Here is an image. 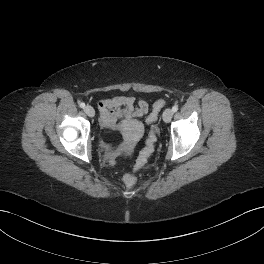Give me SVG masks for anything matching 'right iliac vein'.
Segmentation results:
<instances>
[{
    "label": "right iliac vein",
    "mask_w": 264,
    "mask_h": 264,
    "mask_svg": "<svg viewBox=\"0 0 264 264\" xmlns=\"http://www.w3.org/2000/svg\"><path fill=\"white\" fill-rule=\"evenodd\" d=\"M84 112L89 116V117H94L95 115V111L93 109L92 106H89L87 105L85 108H84Z\"/></svg>",
    "instance_id": "obj_1"
}]
</instances>
